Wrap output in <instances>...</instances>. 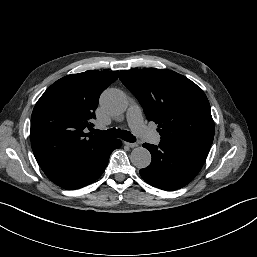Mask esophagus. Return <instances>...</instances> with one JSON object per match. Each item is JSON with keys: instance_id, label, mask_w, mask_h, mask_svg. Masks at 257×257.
Masks as SVG:
<instances>
[{"instance_id": "34e87169", "label": "esophagus", "mask_w": 257, "mask_h": 257, "mask_svg": "<svg viewBox=\"0 0 257 257\" xmlns=\"http://www.w3.org/2000/svg\"><path fill=\"white\" fill-rule=\"evenodd\" d=\"M124 144L130 148H135L138 146L137 143L124 142Z\"/></svg>"}]
</instances>
